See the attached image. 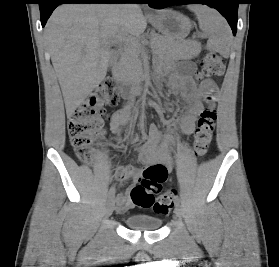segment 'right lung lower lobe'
Returning <instances> with one entry per match:
<instances>
[{
    "instance_id": "1",
    "label": "right lung lower lobe",
    "mask_w": 279,
    "mask_h": 267,
    "mask_svg": "<svg viewBox=\"0 0 279 267\" xmlns=\"http://www.w3.org/2000/svg\"><path fill=\"white\" fill-rule=\"evenodd\" d=\"M142 3V0H41L39 2L41 24H46L53 10L62 3Z\"/></svg>"
}]
</instances>
